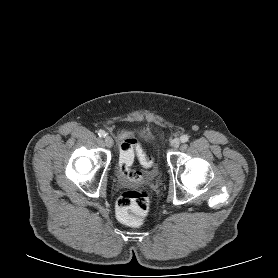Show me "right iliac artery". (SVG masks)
Returning <instances> with one entry per match:
<instances>
[{
  "label": "right iliac artery",
  "mask_w": 278,
  "mask_h": 278,
  "mask_svg": "<svg viewBox=\"0 0 278 278\" xmlns=\"http://www.w3.org/2000/svg\"><path fill=\"white\" fill-rule=\"evenodd\" d=\"M98 135H99L100 137H105V136H106V132H105L104 130H99V131H98Z\"/></svg>",
  "instance_id": "82829eb1"
}]
</instances>
